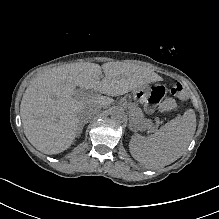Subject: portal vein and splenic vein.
I'll list each match as a JSON object with an SVG mask.
<instances>
[{
    "instance_id": "18ae733b",
    "label": "portal vein and splenic vein",
    "mask_w": 219,
    "mask_h": 219,
    "mask_svg": "<svg viewBox=\"0 0 219 219\" xmlns=\"http://www.w3.org/2000/svg\"><path fill=\"white\" fill-rule=\"evenodd\" d=\"M90 95H91V93H85V94L75 93L76 98H81V97L85 98V97L90 96Z\"/></svg>"
}]
</instances>
